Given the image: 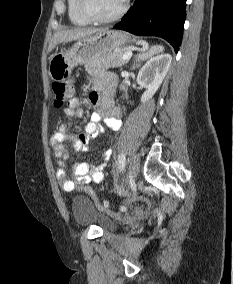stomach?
Returning a JSON list of instances; mask_svg holds the SVG:
<instances>
[{
	"mask_svg": "<svg viewBox=\"0 0 233 284\" xmlns=\"http://www.w3.org/2000/svg\"><path fill=\"white\" fill-rule=\"evenodd\" d=\"M130 41L131 38L127 34L109 29L82 38L70 49L50 57L49 76L53 81H65L70 77L74 67L88 64Z\"/></svg>",
	"mask_w": 233,
	"mask_h": 284,
	"instance_id": "stomach-1",
	"label": "stomach"
}]
</instances>
